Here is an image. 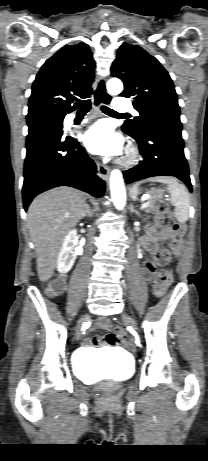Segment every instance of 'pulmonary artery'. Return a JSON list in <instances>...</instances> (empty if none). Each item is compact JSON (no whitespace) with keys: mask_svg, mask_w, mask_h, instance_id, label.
<instances>
[{"mask_svg":"<svg viewBox=\"0 0 208 461\" xmlns=\"http://www.w3.org/2000/svg\"><path fill=\"white\" fill-rule=\"evenodd\" d=\"M113 107H114L115 111L120 112V113H127V112L136 113V111L134 110L132 104L129 101H127V99L124 98V97H118L114 101Z\"/></svg>","mask_w":208,"mask_h":461,"instance_id":"e3ab8cb5","label":"pulmonary artery"}]
</instances>
